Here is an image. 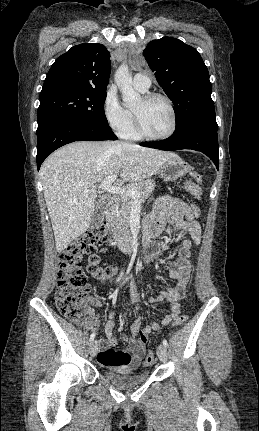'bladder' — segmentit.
I'll list each match as a JSON object with an SVG mask.
<instances>
[{
	"label": "bladder",
	"instance_id": "31cf9c89",
	"mask_svg": "<svg viewBox=\"0 0 259 431\" xmlns=\"http://www.w3.org/2000/svg\"><path fill=\"white\" fill-rule=\"evenodd\" d=\"M104 376L118 386H131L147 380L150 376L149 371H136L132 368H107L103 371Z\"/></svg>",
	"mask_w": 259,
	"mask_h": 431
}]
</instances>
